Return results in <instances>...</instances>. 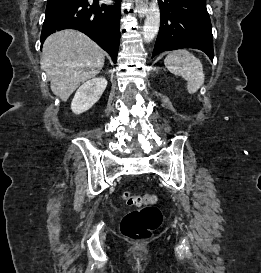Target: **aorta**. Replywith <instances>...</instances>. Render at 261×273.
<instances>
[{
  "instance_id": "762f6f07",
  "label": "aorta",
  "mask_w": 261,
  "mask_h": 273,
  "mask_svg": "<svg viewBox=\"0 0 261 273\" xmlns=\"http://www.w3.org/2000/svg\"><path fill=\"white\" fill-rule=\"evenodd\" d=\"M160 26V11L157 0H152L146 14V19L143 26L144 41L151 42L158 33Z\"/></svg>"
}]
</instances>
